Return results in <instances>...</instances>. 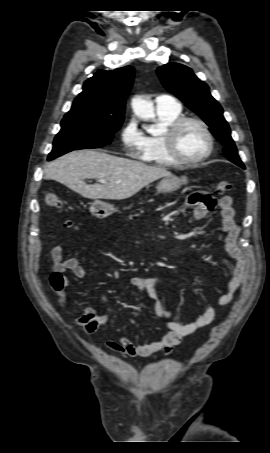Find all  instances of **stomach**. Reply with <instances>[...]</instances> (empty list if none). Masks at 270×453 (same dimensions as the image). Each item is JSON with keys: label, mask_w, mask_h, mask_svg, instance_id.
<instances>
[{"label": "stomach", "mask_w": 270, "mask_h": 453, "mask_svg": "<svg viewBox=\"0 0 270 453\" xmlns=\"http://www.w3.org/2000/svg\"><path fill=\"white\" fill-rule=\"evenodd\" d=\"M188 183L186 176H166L163 178L158 186L157 189L160 192H172L181 188V186ZM116 212V208L112 204L105 203L100 200H95L90 206V213L98 218L103 219L110 216L112 213Z\"/></svg>", "instance_id": "obj_1"}]
</instances>
